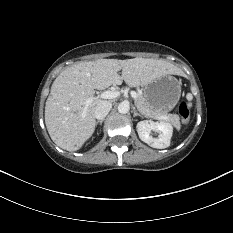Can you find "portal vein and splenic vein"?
Listing matches in <instances>:
<instances>
[{
	"label": "portal vein and splenic vein",
	"mask_w": 233,
	"mask_h": 233,
	"mask_svg": "<svg viewBox=\"0 0 233 233\" xmlns=\"http://www.w3.org/2000/svg\"><path fill=\"white\" fill-rule=\"evenodd\" d=\"M119 95H120L119 91H116V90H107V91L102 92L99 95V97L102 98V99H113V98L118 97ZM131 96L134 99H136L137 98V93L135 91H132L131 92ZM93 99H94V97H90L87 100L86 106H88L93 101ZM82 116L85 117V112L83 113ZM168 118H169V116H167V115H162V116L155 117V119H158V120H167Z\"/></svg>",
	"instance_id": "18ae733b"
}]
</instances>
